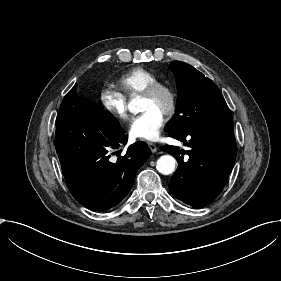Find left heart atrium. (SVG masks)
<instances>
[{
	"instance_id": "obj_1",
	"label": "left heart atrium",
	"mask_w": 281,
	"mask_h": 281,
	"mask_svg": "<svg viewBox=\"0 0 281 281\" xmlns=\"http://www.w3.org/2000/svg\"><path fill=\"white\" fill-rule=\"evenodd\" d=\"M163 126V114L149 109L134 118L128 131L131 137L145 141H158Z\"/></svg>"
}]
</instances>
